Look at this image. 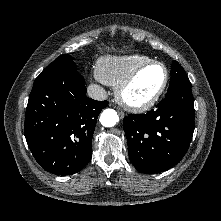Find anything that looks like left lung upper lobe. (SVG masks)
<instances>
[{
	"instance_id": "1",
	"label": "left lung upper lobe",
	"mask_w": 221,
	"mask_h": 221,
	"mask_svg": "<svg viewBox=\"0 0 221 221\" xmlns=\"http://www.w3.org/2000/svg\"><path fill=\"white\" fill-rule=\"evenodd\" d=\"M171 70L170 85L167 93L173 91L179 86L191 85L184 69L177 61H173Z\"/></svg>"
}]
</instances>
